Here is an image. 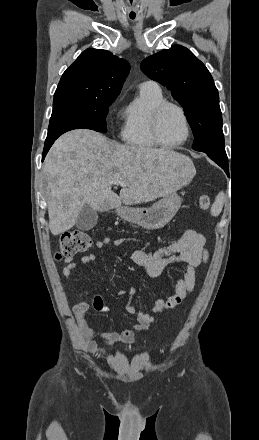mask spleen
<instances>
[{
    "label": "spleen",
    "instance_id": "3e777b00",
    "mask_svg": "<svg viewBox=\"0 0 259 440\" xmlns=\"http://www.w3.org/2000/svg\"><path fill=\"white\" fill-rule=\"evenodd\" d=\"M224 200H225V194L223 192H220L217 195V197L211 207V214L213 216H218L221 213Z\"/></svg>",
    "mask_w": 259,
    "mask_h": 440
}]
</instances>
